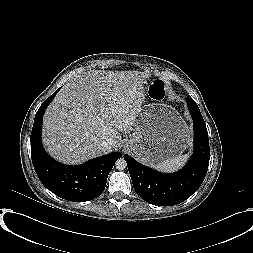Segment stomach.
Returning a JSON list of instances; mask_svg holds the SVG:
<instances>
[{"mask_svg": "<svg viewBox=\"0 0 253 253\" xmlns=\"http://www.w3.org/2000/svg\"><path fill=\"white\" fill-rule=\"evenodd\" d=\"M133 127L125 147L150 166L180 156L190 141L189 127L175 108L165 103L142 106Z\"/></svg>", "mask_w": 253, "mask_h": 253, "instance_id": "stomach-1", "label": "stomach"}]
</instances>
